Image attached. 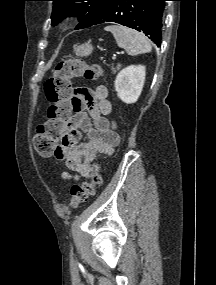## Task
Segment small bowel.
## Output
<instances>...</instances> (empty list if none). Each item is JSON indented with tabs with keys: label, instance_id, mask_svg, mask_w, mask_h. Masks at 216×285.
Wrapping results in <instances>:
<instances>
[{
	"label": "small bowel",
	"instance_id": "obj_1",
	"mask_svg": "<svg viewBox=\"0 0 216 285\" xmlns=\"http://www.w3.org/2000/svg\"><path fill=\"white\" fill-rule=\"evenodd\" d=\"M74 98V112L55 156L64 160L68 169L74 172H62V178L77 181L91 175L97 153L112 154L119 142V136L108 118L112 105L105 86L94 90L78 88ZM81 131L87 134V140L79 141Z\"/></svg>",
	"mask_w": 216,
	"mask_h": 285
}]
</instances>
